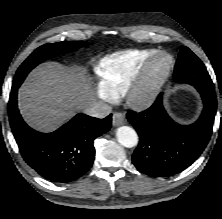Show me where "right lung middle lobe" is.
<instances>
[{"label":"right lung middle lobe","instance_id":"1","mask_svg":"<svg viewBox=\"0 0 222 219\" xmlns=\"http://www.w3.org/2000/svg\"><path fill=\"white\" fill-rule=\"evenodd\" d=\"M83 45V41H62L59 43H50L40 46L19 67L14 77L13 86L19 88L26 75L43 61L60 54L70 52Z\"/></svg>","mask_w":222,"mask_h":219}]
</instances>
